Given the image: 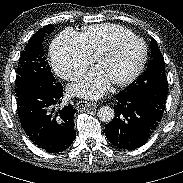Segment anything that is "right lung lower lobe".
I'll return each instance as SVG.
<instances>
[{
	"label": "right lung lower lobe",
	"mask_w": 183,
	"mask_h": 183,
	"mask_svg": "<svg viewBox=\"0 0 183 183\" xmlns=\"http://www.w3.org/2000/svg\"><path fill=\"white\" fill-rule=\"evenodd\" d=\"M63 86H30L17 96V111L29 139L39 148L51 153L67 149L74 141V114L71 105H61Z\"/></svg>",
	"instance_id": "obj_1"
}]
</instances>
